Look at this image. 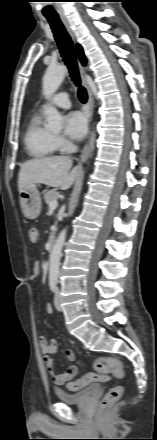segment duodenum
<instances>
[{"mask_svg":"<svg viewBox=\"0 0 157 440\" xmlns=\"http://www.w3.org/2000/svg\"><path fill=\"white\" fill-rule=\"evenodd\" d=\"M54 245H55V238H50L47 243V249L49 252L53 250Z\"/></svg>","mask_w":157,"mask_h":440,"instance_id":"1","label":"duodenum"}]
</instances>
